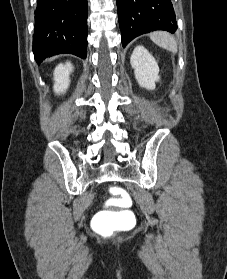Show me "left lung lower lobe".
<instances>
[{
	"instance_id": "left-lung-lower-lobe-1",
	"label": "left lung lower lobe",
	"mask_w": 227,
	"mask_h": 279,
	"mask_svg": "<svg viewBox=\"0 0 227 279\" xmlns=\"http://www.w3.org/2000/svg\"><path fill=\"white\" fill-rule=\"evenodd\" d=\"M122 45L155 30L174 33L177 28L170 0H117Z\"/></svg>"
}]
</instances>
